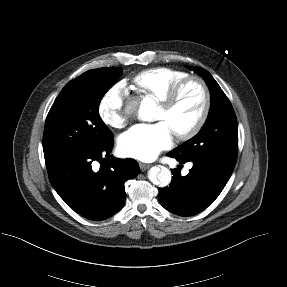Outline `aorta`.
<instances>
[{
  "label": "aorta",
  "mask_w": 287,
  "mask_h": 287,
  "mask_svg": "<svg viewBox=\"0 0 287 287\" xmlns=\"http://www.w3.org/2000/svg\"><path fill=\"white\" fill-rule=\"evenodd\" d=\"M155 107L156 104L154 100L146 97L139 104L136 101L129 102L127 111L131 112L138 108L139 118L143 121H150ZM148 178L153 184L166 187L171 182L172 174L171 171L164 166H154L150 168Z\"/></svg>",
  "instance_id": "obj_1"
}]
</instances>
